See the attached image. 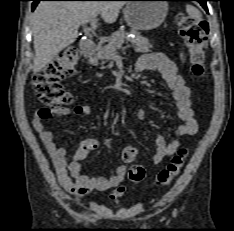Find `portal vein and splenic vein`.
I'll return each mask as SVG.
<instances>
[{
    "label": "portal vein and splenic vein",
    "instance_id": "1",
    "mask_svg": "<svg viewBox=\"0 0 234 231\" xmlns=\"http://www.w3.org/2000/svg\"><path fill=\"white\" fill-rule=\"evenodd\" d=\"M90 25H91V29H92L93 31L96 30V28H97V20H96L95 17H93V18L90 20ZM127 47H129V45L123 47V50H125ZM115 56H116V55H115ZM115 56H114V57H115Z\"/></svg>",
    "mask_w": 234,
    "mask_h": 231
}]
</instances>
